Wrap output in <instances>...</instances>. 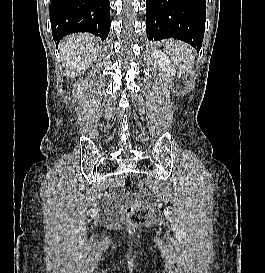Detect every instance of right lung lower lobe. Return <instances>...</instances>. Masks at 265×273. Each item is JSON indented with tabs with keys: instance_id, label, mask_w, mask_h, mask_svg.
I'll return each instance as SVG.
<instances>
[{
	"instance_id": "1",
	"label": "right lung lower lobe",
	"mask_w": 265,
	"mask_h": 273,
	"mask_svg": "<svg viewBox=\"0 0 265 273\" xmlns=\"http://www.w3.org/2000/svg\"><path fill=\"white\" fill-rule=\"evenodd\" d=\"M109 0H51L50 19L54 40L66 35L88 32L107 38L110 31Z\"/></svg>"
}]
</instances>
